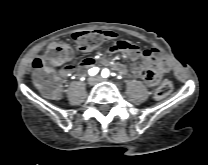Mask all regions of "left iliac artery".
<instances>
[{"label": "left iliac artery", "mask_w": 208, "mask_h": 165, "mask_svg": "<svg viewBox=\"0 0 208 165\" xmlns=\"http://www.w3.org/2000/svg\"><path fill=\"white\" fill-rule=\"evenodd\" d=\"M102 76H103L104 78H107V77L109 76V70H108V69H103V71H102Z\"/></svg>", "instance_id": "44dca946"}]
</instances>
